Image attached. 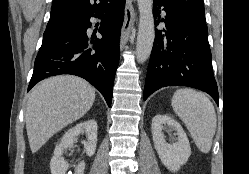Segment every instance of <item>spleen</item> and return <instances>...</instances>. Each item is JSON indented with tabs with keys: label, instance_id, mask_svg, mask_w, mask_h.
I'll return each instance as SVG.
<instances>
[{
	"label": "spleen",
	"instance_id": "obj_1",
	"mask_svg": "<svg viewBox=\"0 0 249 174\" xmlns=\"http://www.w3.org/2000/svg\"><path fill=\"white\" fill-rule=\"evenodd\" d=\"M174 112L185 123L197 148L208 153L216 132L215 108L209 98L193 89H179L171 103Z\"/></svg>",
	"mask_w": 249,
	"mask_h": 174
}]
</instances>
